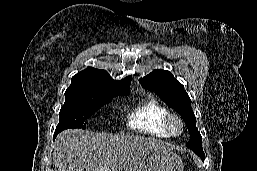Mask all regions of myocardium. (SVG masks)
<instances>
[{
  "mask_svg": "<svg viewBox=\"0 0 257 171\" xmlns=\"http://www.w3.org/2000/svg\"><path fill=\"white\" fill-rule=\"evenodd\" d=\"M165 127L171 136H179L184 130V122L176 113H169L165 119Z\"/></svg>",
  "mask_w": 257,
  "mask_h": 171,
  "instance_id": "myocardium-1",
  "label": "myocardium"
}]
</instances>
